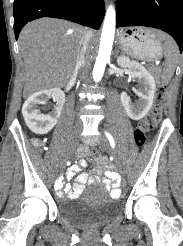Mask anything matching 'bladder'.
Wrapping results in <instances>:
<instances>
[{
    "label": "bladder",
    "instance_id": "31cf9c89",
    "mask_svg": "<svg viewBox=\"0 0 183 246\" xmlns=\"http://www.w3.org/2000/svg\"><path fill=\"white\" fill-rule=\"evenodd\" d=\"M122 210L119 200L109 196L100 186L91 187L87 194L63 202L60 214L78 225H103L115 218Z\"/></svg>",
    "mask_w": 183,
    "mask_h": 246
}]
</instances>
